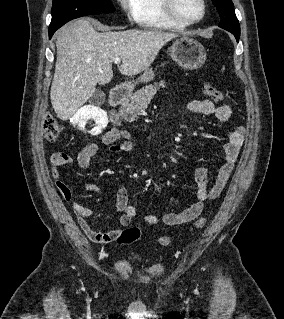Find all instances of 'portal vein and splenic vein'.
<instances>
[{
    "label": "portal vein and splenic vein",
    "instance_id": "1",
    "mask_svg": "<svg viewBox=\"0 0 284 319\" xmlns=\"http://www.w3.org/2000/svg\"><path fill=\"white\" fill-rule=\"evenodd\" d=\"M113 61L116 64H120L121 63V59L119 57L114 58Z\"/></svg>",
    "mask_w": 284,
    "mask_h": 319
}]
</instances>
